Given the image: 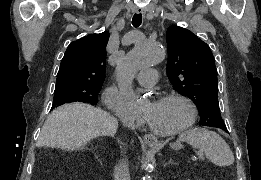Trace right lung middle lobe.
<instances>
[{
  "label": "right lung middle lobe",
  "instance_id": "right-lung-middle-lobe-1",
  "mask_svg": "<svg viewBox=\"0 0 261 180\" xmlns=\"http://www.w3.org/2000/svg\"><path fill=\"white\" fill-rule=\"evenodd\" d=\"M102 84L71 83L56 86L52 109L65 103L88 102L96 105Z\"/></svg>",
  "mask_w": 261,
  "mask_h": 180
}]
</instances>
